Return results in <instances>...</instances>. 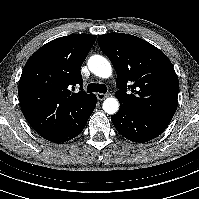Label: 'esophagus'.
Returning <instances> with one entry per match:
<instances>
[{
	"label": "esophagus",
	"instance_id": "34e87169",
	"mask_svg": "<svg viewBox=\"0 0 199 199\" xmlns=\"http://www.w3.org/2000/svg\"><path fill=\"white\" fill-rule=\"evenodd\" d=\"M96 96L99 100H104L105 98H107L109 96V94H103V93H96Z\"/></svg>",
	"mask_w": 199,
	"mask_h": 199
}]
</instances>
